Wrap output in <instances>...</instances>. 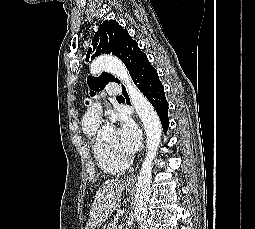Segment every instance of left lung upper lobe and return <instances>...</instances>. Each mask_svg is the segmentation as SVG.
<instances>
[{
	"instance_id": "obj_1",
	"label": "left lung upper lobe",
	"mask_w": 255,
	"mask_h": 229,
	"mask_svg": "<svg viewBox=\"0 0 255 229\" xmlns=\"http://www.w3.org/2000/svg\"><path fill=\"white\" fill-rule=\"evenodd\" d=\"M91 45L92 47L89 48L86 55V61L89 60V57L95 58L101 54H113L124 62L130 75L144 55L128 31L114 20H105L99 25ZM109 82L120 83L117 78L108 73H102L99 77L88 76L87 78L88 86L95 92L102 90ZM95 92H90V95L94 96Z\"/></svg>"
}]
</instances>
